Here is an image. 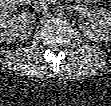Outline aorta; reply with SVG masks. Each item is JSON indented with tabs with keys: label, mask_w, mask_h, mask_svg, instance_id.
Returning a JSON list of instances; mask_svg holds the SVG:
<instances>
[{
	"label": "aorta",
	"mask_w": 111,
	"mask_h": 106,
	"mask_svg": "<svg viewBox=\"0 0 111 106\" xmlns=\"http://www.w3.org/2000/svg\"><path fill=\"white\" fill-rule=\"evenodd\" d=\"M56 14H57V16L61 17V16H63L64 12H63V10L60 9V10H57Z\"/></svg>",
	"instance_id": "762f6f07"
}]
</instances>
